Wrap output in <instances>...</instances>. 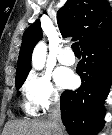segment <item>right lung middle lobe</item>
Masks as SVG:
<instances>
[{
  "mask_svg": "<svg viewBox=\"0 0 112 135\" xmlns=\"http://www.w3.org/2000/svg\"><path fill=\"white\" fill-rule=\"evenodd\" d=\"M27 75L19 77L16 79V89L19 90L22 86V84L24 83L25 79H26ZM17 95H20V92L17 93Z\"/></svg>",
  "mask_w": 112,
  "mask_h": 135,
  "instance_id": "right-lung-middle-lobe-1",
  "label": "right lung middle lobe"
}]
</instances>
